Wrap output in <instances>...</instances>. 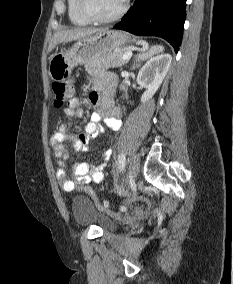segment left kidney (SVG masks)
Returning a JSON list of instances; mask_svg holds the SVG:
<instances>
[{"label": "left kidney", "instance_id": "left-kidney-1", "mask_svg": "<svg viewBox=\"0 0 233 284\" xmlns=\"http://www.w3.org/2000/svg\"><path fill=\"white\" fill-rule=\"evenodd\" d=\"M171 61L170 54H160L150 58L140 69L137 83L146 89L141 96V102L145 103L156 93L169 70Z\"/></svg>", "mask_w": 233, "mask_h": 284}]
</instances>
